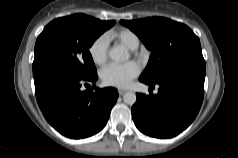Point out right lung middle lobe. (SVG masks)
Here are the masks:
<instances>
[{
	"instance_id": "dd1d6c3e",
	"label": "right lung middle lobe",
	"mask_w": 238,
	"mask_h": 158,
	"mask_svg": "<svg viewBox=\"0 0 238 158\" xmlns=\"http://www.w3.org/2000/svg\"><path fill=\"white\" fill-rule=\"evenodd\" d=\"M115 21H101L84 14L50 22L38 36L33 64L58 63L87 78L97 75L89 48Z\"/></svg>"
}]
</instances>
